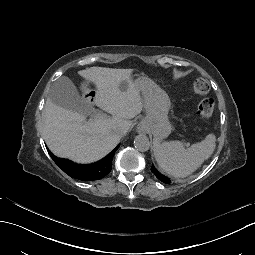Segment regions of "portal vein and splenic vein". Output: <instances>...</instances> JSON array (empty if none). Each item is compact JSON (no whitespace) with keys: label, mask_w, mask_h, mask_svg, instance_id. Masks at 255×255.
Here are the masks:
<instances>
[{"label":"portal vein and splenic vein","mask_w":255,"mask_h":255,"mask_svg":"<svg viewBox=\"0 0 255 255\" xmlns=\"http://www.w3.org/2000/svg\"><path fill=\"white\" fill-rule=\"evenodd\" d=\"M101 116H102V115H99V116H96L95 118H99V117H101ZM95 118H94V119H95ZM91 120H93V119H91Z\"/></svg>","instance_id":"18ae733b"}]
</instances>
